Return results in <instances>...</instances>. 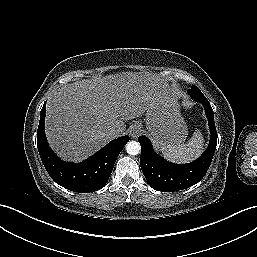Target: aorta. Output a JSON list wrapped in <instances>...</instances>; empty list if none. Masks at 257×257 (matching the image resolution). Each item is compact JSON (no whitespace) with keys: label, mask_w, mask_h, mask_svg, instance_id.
Masks as SVG:
<instances>
[{"label":"aorta","mask_w":257,"mask_h":257,"mask_svg":"<svg viewBox=\"0 0 257 257\" xmlns=\"http://www.w3.org/2000/svg\"><path fill=\"white\" fill-rule=\"evenodd\" d=\"M126 151L130 155H137L141 151V146L137 141H129L126 144Z\"/></svg>","instance_id":"762f6f07"}]
</instances>
